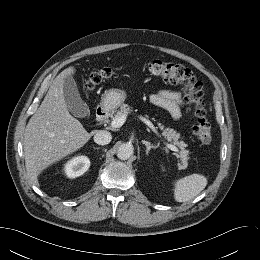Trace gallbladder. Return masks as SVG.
<instances>
[{
	"mask_svg": "<svg viewBox=\"0 0 260 260\" xmlns=\"http://www.w3.org/2000/svg\"><path fill=\"white\" fill-rule=\"evenodd\" d=\"M63 92L67 109L71 114L78 118H84L90 115L89 107L82 100L77 84L72 76H67L64 79Z\"/></svg>",
	"mask_w": 260,
	"mask_h": 260,
	"instance_id": "bac80fb5",
	"label": "gallbladder"
}]
</instances>
